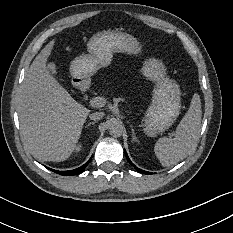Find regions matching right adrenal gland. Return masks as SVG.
I'll return each instance as SVG.
<instances>
[{
	"label": "right adrenal gland",
	"mask_w": 233,
	"mask_h": 233,
	"mask_svg": "<svg viewBox=\"0 0 233 233\" xmlns=\"http://www.w3.org/2000/svg\"><path fill=\"white\" fill-rule=\"evenodd\" d=\"M95 123H96V121H92V122H89L87 125L89 126V125L95 124Z\"/></svg>",
	"instance_id": "obj_1"
}]
</instances>
